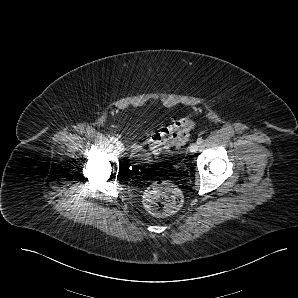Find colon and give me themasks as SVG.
<instances>
[{
  "label": "colon",
  "mask_w": 298,
  "mask_h": 298,
  "mask_svg": "<svg viewBox=\"0 0 298 298\" xmlns=\"http://www.w3.org/2000/svg\"><path fill=\"white\" fill-rule=\"evenodd\" d=\"M194 122L188 117L175 119L149 138L152 152L158 154L182 145L189 138ZM183 202L182 193L177 186L168 181L153 183L144 194V204L148 212L157 216H167L177 212Z\"/></svg>",
  "instance_id": "5ec220e1"
}]
</instances>
